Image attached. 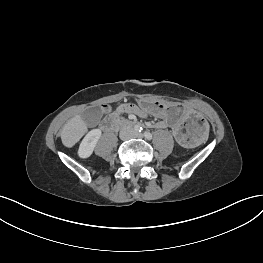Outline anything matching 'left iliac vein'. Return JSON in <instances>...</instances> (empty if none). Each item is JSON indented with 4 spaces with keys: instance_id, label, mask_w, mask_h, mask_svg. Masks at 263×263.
I'll list each match as a JSON object with an SVG mask.
<instances>
[{
    "instance_id": "left-iliac-vein-1",
    "label": "left iliac vein",
    "mask_w": 263,
    "mask_h": 263,
    "mask_svg": "<svg viewBox=\"0 0 263 263\" xmlns=\"http://www.w3.org/2000/svg\"><path fill=\"white\" fill-rule=\"evenodd\" d=\"M139 137H142L143 135L142 134H138Z\"/></svg>"
}]
</instances>
